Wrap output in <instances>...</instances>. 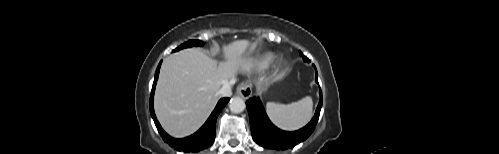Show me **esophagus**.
<instances>
[{
  "label": "esophagus",
  "mask_w": 499,
  "mask_h": 154,
  "mask_svg": "<svg viewBox=\"0 0 499 154\" xmlns=\"http://www.w3.org/2000/svg\"><path fill=\"white\" fill-rule=\"evenodd\" d=\"M236 93L242 98L248 99L252 94V90L248 83L243 82L237 87Z\"/></svg>",
  "instance_id": "obj_1"
}]
</instances>
